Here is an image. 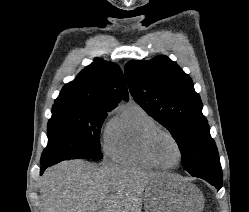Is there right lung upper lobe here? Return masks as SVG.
Segmentation results:
<instances>
[{
    "instance_id": "obj_1",
    "label": "right lung upper lobe",
    "mask_w": 249,
    "mask_h": 212,
    "mask_svg": "<svg viewBox=\"0 0 249 212\" xmlns=\"http://www.w3.org/2000/svg\"><path fill=\"white\" fill-rule=\"evenodd\" d=\"M121 99H129L121 69L115 63L96 59L92 65L82 70L73 82L63 87L55 101L113 109Z\"/></svg>"
}]
</instances>
